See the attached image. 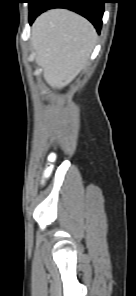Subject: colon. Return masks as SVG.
I'll list each match as a JSON object with an SVG mask.
<instances>
[{"label":"colon","instance_id":"1","mask_svg":"<svg viewBox=\"0 0 136 296\" xmlns=\"http://www.w3.org/2000/svg\"><path fill=\"white\" fill-rule=\"evenodd\" d=\"M49 159L50 160H54L55 159V156L54 155H50L49 156ZM51 168H52V166L49 165V164L46 166V168L44 170V176H48L49 175Z\"/></svg>","mask_w":136,"mask_h":296}]
</instances>
